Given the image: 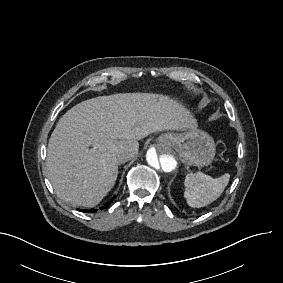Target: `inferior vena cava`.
Listing matches in <instances>:
<instances>
[{
  "label": "inferior vena cava",
  "mask_w": 283,
  "mask_h": 283,
  "mask_svg": "<svg viewBox=\"0 0 283 283\" xmlns=\"http://www.w3.org/2000/svg\"><path fill=\"white\" fill-rule=\"evenodd\" d=\"M137 153H138V149H135V148H132V147L120 150L116 154V163L117 164H123V163L131 160L132 158H134L135 155H137Z\"/></svg>",
  "instance_id": "1"
}]
</instances>
